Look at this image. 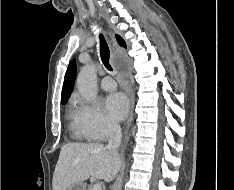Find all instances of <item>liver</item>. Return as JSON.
<instances>
[{
	"label": "liver",
	"mask_w": 234,
	"mask_h": 190,
	"mask_svg": "<svg viewBox=\"0 0 234 190\" xmlns=\"http://www.w3.org/2000/svg\"><path fill=\"white\" fill-rule=\"evenodd\" d=\"M121 166L119 154L97 143H67L62 146L53 174V190H67L89 177L113 180Z\"/></svg>",
	"instance_id": "6515ba94"
}]
</instances>
